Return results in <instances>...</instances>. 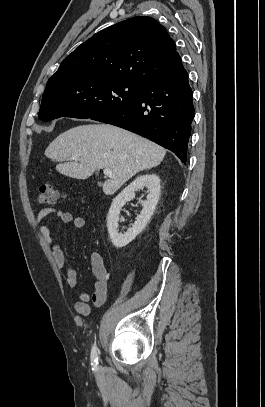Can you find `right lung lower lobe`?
I'll use <instances>...</instances> for the list:
<instances>
[{
	"label": "right lung lower lobe",
	"instance_id": "right-lung-lower-lobe-1",
	"mask_svg": "<svg viewBox=\"0 0 265 407\" xmlns=\"http://www.w3.org/2000/svg\"><path fill=\"white\" fill-rule=\"evenodd\" d=\"M193 118V92L179 57L172 71L145 84L134 102L91 119L146 137L186 164Z\"/></svg>",
	"mask_w": 265,
	"mask_h": 407
}]
</instances>
